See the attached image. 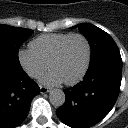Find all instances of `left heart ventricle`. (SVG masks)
Segmentation results:
<instances>
[{
    "label": "left heart ventricle",
    "instance_id": "1",
    "mask_svg": "<svg viewBox=\"0 0 128 128\" xmlns=\"http://www.w3.org/2000/svg\"><path fill=\"white\" fill-rule=\"evenodd\" d=\"M86 44L81 38L71 39L63 54L51 67L62 81L74 79L83 69L86 60Z\"/></svg>",
    "mask_w": 128,
    "mask_h": 128
}]
</instances>
